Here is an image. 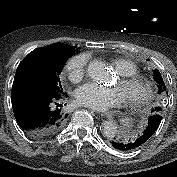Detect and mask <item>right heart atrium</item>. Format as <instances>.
<instances>
[{"instance_id":"1","label":"right heart atrium","mask_w":177,"mask_h":177,"mask_svg":"<svg viewBox=\"0 0 177 177\" xmlns=\"http://www.w3.org/2000/svg\"><path fill=\"white\" fill-rule=\"evenodd\" d=\"M87 63L88 57L85 54L75 55L67 61L65 70L72 82L77 83L84 78L86 74Z\"/></svg>"}]
</instances>
